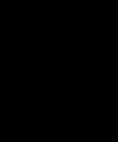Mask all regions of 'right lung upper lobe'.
Here are the masks:
<instances>
[{"label": "right lung upper lobe", "mask_w": 118, "mask_h": 142, "mask_svg": "<svg viewBox=\"0 0 118 142\" xmlns=\"http://www.w3.org/2000/svg\"><path fill=\"white\" fill-rule=\"evenodd\" d=\"M46 53L21 46L0 58V132L15 131L38 108L34 78Z\"/></svg>", "instance_id": "right-lung-upper-lobe-1"}]
</instances>
